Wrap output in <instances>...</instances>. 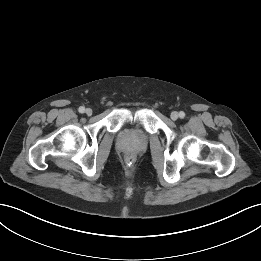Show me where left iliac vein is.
Here are the masks:
<instances>
[{"instance_id":"1","label":"left iliac vein","mask_w":261,"mask_h":261,"mask_svg":"<svg viewBox=\"0 0 261 261\" xmlns=\"http://www.w3.org/2000/svg\"><path fill=\"white\" fill-rule=\"evenodd\" d=\"M170 117H171L172 120L175 121V120L178 119L179 114H178L176 111H173V112L171 113Z\"/></svg>"}]
</instances>
